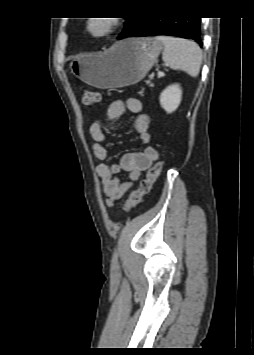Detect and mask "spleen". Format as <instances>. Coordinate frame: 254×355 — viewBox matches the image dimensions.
<instances>
[{"label": "spleen", "mask_w": 254, "mask_h": 355, "mask_svg": "<svg viewBox=\"0 0 254 355\" xmlns=\"http://www.w3.org/2000/svg\"><path fill=\"white\" fill-rule=\"evenodd\" d=\"M164 44L162 60L174 70H182L191 77L199 74L202 63V51L193 41L170 36H157Z\"/></svg>", "instance_id": "obj_1"}]
</instances>
